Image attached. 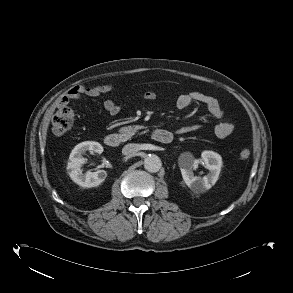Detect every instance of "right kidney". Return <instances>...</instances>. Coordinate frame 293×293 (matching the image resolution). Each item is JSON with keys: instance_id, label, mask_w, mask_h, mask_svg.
<instances>
[{"instance_id": "1", "label": "right kidney", "mask_w": 293, "mask_h": 293, "mask_svg": "<svg viewBox=\"0 0 293 293\" xmlns=\"http://www.w3.org/2000/svg\"><path fill=\"white\" fill-rule=\"evenodd\" d=\"M86 151L101 154L103 152V147L101 144L94 141H85L76 145L69 156L67 165L68 174L73 182L79 186L84 188L97 187L104 182L107 173L105 170L82 173L81 167L85 163V158H83L82 155Z\"/></svg>"}]
</instances>
